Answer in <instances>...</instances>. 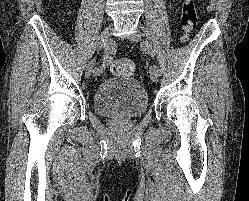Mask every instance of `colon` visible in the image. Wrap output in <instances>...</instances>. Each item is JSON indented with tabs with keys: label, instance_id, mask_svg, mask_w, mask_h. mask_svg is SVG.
I'll return each mask as SVG.
<instances>
[{
	"label": "colon",
	"instance_id": "obj_1",
	"mask_svg": "<svg viewBox=\"0 0 249 201\" xmlns=\"http://www.w3.org/2000/svg\"><path fill=\"white\" fill-rule=\"evenodd\" d=\"M197 26V11L195 0H182L181 5V36L180 42L185 43L189 40L191 33ZM111 71L114 74L129 77L135 71V65L132 60L120 58L111 65Z\"/></svg>",
	"mask_w": 249,
	"mask_h": 201
}]
</instances>
